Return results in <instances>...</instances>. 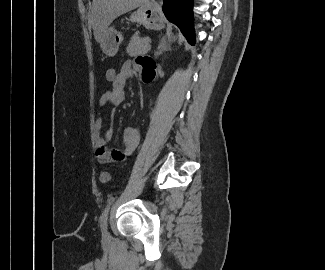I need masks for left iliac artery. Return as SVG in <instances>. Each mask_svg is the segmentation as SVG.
I'll use <instances>...</instances> for the list:
<instances>
[{
	"mask_svg": "<svg viewBox=\"0 0 325 270\" xmlns=\"http://www.w3.org/2000/svg\"><path fill=\"white\" fill-rule=\"evenodd\" d=\"M114 201H115L114 197L109 200L108 204L106 205V207L104 208V210L100 216V227H101V230L103 233H106V231H107L108 213H109L110 207Z\"/></svg>",
	"mask_w": 325,
	"mask_h": 270,
	"instance_id": "1",
	"label": "left iliac artery"
}]
</instances>
